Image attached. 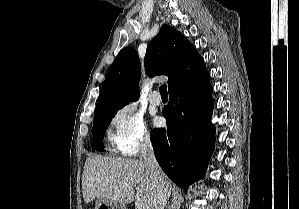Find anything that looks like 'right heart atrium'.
Here are the masks:
<instances>
[{
	"label": "right heart atrium",
	"instance_id": "obj_1",
	"mask_svg": "<svg viewBox=\"0 0 299 209\" xmlns=\"http://www.w3.org/2000/svg\"><path fill=\"white\" fill-rule=\"evenodd\" d=\"M107 137L117 151L129 156H134L152 145L144 118L128 107L113 113Z\"/></svg>",
	"mask_w": 299,
	"mask_h": 209
}]
</instances>
